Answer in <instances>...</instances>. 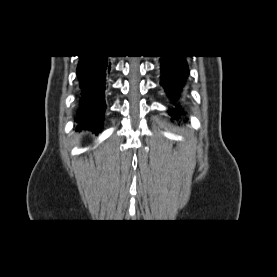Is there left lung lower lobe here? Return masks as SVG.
I'll list each match as a JSON object with an SVG mask.
<instances>
[{
    "label": "left lung lower lobe",
    "mask_w": 277,
    "mask_h": 277,
    "mask_svg": "<svg viewBox=\"0 0 277 277\" xmlns=\"http://www.w3.org/2000/svg\"><path fill=\"white\" fill-rule=\"evenodd\" d=\"M186 56L163 55L160 59L161 85L173 99L178 98L183 84L188 77L189 69ZM174 119L181 117L182 110L177 107L170 112Z\"/></svg>",
    "instance_id": "0a47b994"
}]
</instances>
